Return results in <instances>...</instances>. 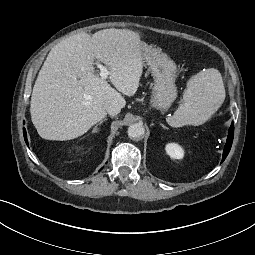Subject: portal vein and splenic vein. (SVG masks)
<instances>
[{
	"mask_svg": "<svg viewBox=\"0 0 255 255\" xmlns=\"http://www.w3.org/2000/svg\"><path fill=\"white\" fill-rule=\"evenodd\" d=\"M98 68L100 69V77L101 79H106L108 77V75H110V71H108V69L103 66L102 64H97Z\"/></svg>",
	"mask_w": 255,
	"mask_h": 255,
	"instance_id": "obj_1",
	"label": "portal vein and splenic vein"
}]
</instances>
